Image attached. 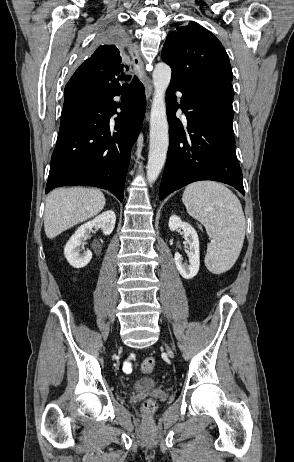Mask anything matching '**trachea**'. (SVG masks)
<instances>
[{"label":"trachea","instance_id":"trachea-1","mask_svg":"<svg viewBox=\"0 0 294 462\" xmlns=\"http://www.w3.org/2000/svg\"><path fill=\"white\" fill-rule=\"evenodd\" d=\"M130 78H131L130 76H126V75H123V76L121 77V79H123V80H125V81L130 80Z\"/></svg>","mask_w":294,"mask_h":462}]
</instances>
